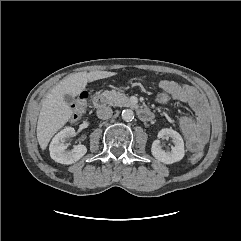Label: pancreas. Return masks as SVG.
Masks as SVG:
<instances>
[{
	"label": "pancreas",
	"mask_w": 241,
	"mask_h": 241,
	"mask_svg": "<svg viewBox=\"0 0 241 241\" xmlns=\"http://www.w3.org/2000/svg\"><path fill=\"white\" fill-rule=\"evenodd\" d=\"M105 99L106 102L111 106H129L130 100L129 98L119 91H104L101 94Z\"/></svg>",
	"instance_id": "pancreas-1"
}]
</instances>
